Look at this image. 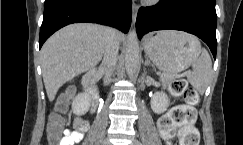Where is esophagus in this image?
I'll list each match as a JSON object with an SVG mask.
<instances>
[{
	"instance_id": "esophagus-1",
	"label": "esophagus",
	"mask_w": 243,
	"mask_h": 145,
	"mask_svg": "<svg viewBox=\"0 0 243 145\" xmlns=\"http://www.w3.org/2000/svg\"><path fill=\"white\" fill-rule=\"evenodd\" d=\"M137 13H138V5L133 2L132 3V20H133L134 24L136 22Z\"/></svg>"
}]
</instances>
